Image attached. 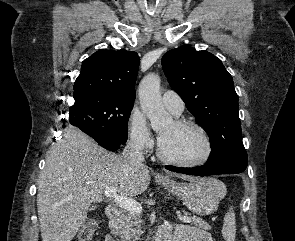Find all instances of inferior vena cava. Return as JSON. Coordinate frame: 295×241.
<instances>
[{"label": "inferior vena cava", "instance_id": "602c4592", "mask_svg": "<svg viewBox=\"0 0 295 241\" xmlns=\"http://www.w3.org/2000/svg\"><path fill=\"white\" fill-rule=\"evenodd\" d=\"M121 156L122 158L127 160L131 165H143V144L139 141H129L125 146Z\"/></svg>", "mask_w": 295, "mask_h": 241}]
</instances>
